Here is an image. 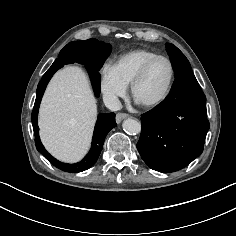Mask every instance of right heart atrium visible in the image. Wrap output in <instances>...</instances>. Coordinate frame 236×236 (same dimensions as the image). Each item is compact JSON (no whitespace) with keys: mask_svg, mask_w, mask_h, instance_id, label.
<instances>
[{"mask_svg":"<svg viewBox=\"0 0 236 236\" xmlns=\"http://www.w3.org/2000/svg\"><path fill=\"white\" fill-rule=\"evenodd\" d=\"M99 85L104 99L110 104L127 93V86L118 78L112 65H105L101 69Z\"/></svg>","mask_w":236,"mask_h":236,"instance_id":"obj_1","label":"right heart atrium"}]
</instances>
